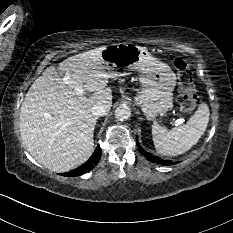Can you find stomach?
Returning <instances> with one entry per match:
<instances>
[{
    "mask_svg": "<svg viewBox=\"0 0 233 233\" xmlns=\"http://www.w3.org/2000/svg\"><path fill=\"white\" fill-rule=\"evenodd\" d=\"M102 61L111 77L139 73L142 90L135 97L145 116L154 119L172 106L176 75L145 47L133 43L111 44L102 51Z\"/></svg>",
    "mask_w": 233,
    "mask_h": 233,
    "instance_id": "1",
    "label": "stomach"
}]
</instances>
